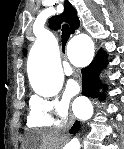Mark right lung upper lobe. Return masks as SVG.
Returning <instances> with one entry per match:
<instances>
[{"label": "right lung upper lobe", "instance_id": "right-lung-upper-lobe-1", "mask_svg": "<svg viewBox=\"0 0 124 149\" xmlns=\"http://www.w3.org/2000/svg\"><path fill=\"white\" fill-rule=\"evenodd\" d=\"M67 21L71 27V33H74L80 27V21L77 16L76 10L68 0L64 3V12L61 15L53 16L50 19V26L53 29H59L62 21Z\"/></svg>", "mask_w": 124, "mask_h": 149}]
</instances>
